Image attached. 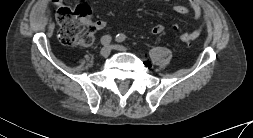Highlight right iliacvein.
I'll return each mask as SVG.
<instances>
[{
	"instance_id": "obj_1",
	"label": "right iliac vein",
	"mask_w": 253,
	"mask_h": 138,
	"mask_svg": "<svg viewBox=\"0 0 253 138\" xmlns=\"http://www.w3.org/2000/svg\"><path fill=\"white\" fill-rule=\"evenodd\" d=\"M111 49V46H104L100 51V55L102 57H108L111 53Z\"/></svg>"
}]
</instances>
